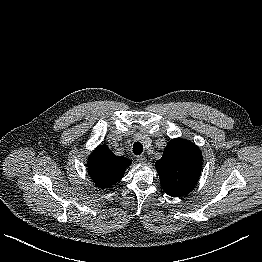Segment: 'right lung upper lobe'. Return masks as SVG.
<instances>
[{"label": "right lung upper lobe", "mask_w": 262, "mask_h": 262, "mask_svg": "<svg viewBox=\"0 0 262 262\" xmlns=\"http://www.w3.org/2000/svg\"><path fill=\"white\" fill-rule=\"evenodd\" d=\"M132 162L126 157L116 156L108 147L98 146L87 162L88 173L99 188H109L124 176Z\"/></svg>", "instance_id": "cb5924a9"}]
</instances>
